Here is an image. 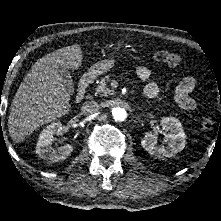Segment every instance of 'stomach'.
Returning a JSON list of instances; mask_svg holds the SVG:
<instances>
[{
    "label": "stomach",
    "mask_w": 221,
    "mask_h": 221,
    "mask_svg": "<svg viewBox=\"0 0 221 221\" xmlns=\"http://www.w3.org/2000/svg\"><path fill=\"white\" fill-rule=\"evenodd\" d=\"M121 45H122V42H119L118 47L116 49L118 50ZM113 66H114L113 59H105V60H102V61H99V62L93 64L90 67L88 74L91 77L95 78L105 72H108Z\"/></svg>",
    "instance_id": "obj_1"
}]
</instances>
